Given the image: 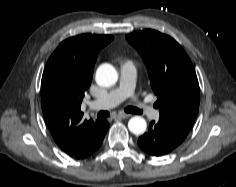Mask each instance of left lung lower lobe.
<instances>
[{
  "mask_svg": "<svg viewBox=\"0 0 236 187\" xmlns=\"http://www.w3.org/2000/svg\"><path fill=\"white\" fill-rule=\"evenodd\" d=\"M185 138L186 135L173 127L152 121L148 132L139 138L138 145L150 155L162 156L178 147Z\"/></svg>",
  "mask_w": 236,
  "mask_h": 187,
  "instance_id": "left-lung-lower-lobe-1",
  "label": "left lung lower lobe"
}]
</instances>
